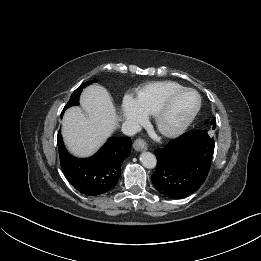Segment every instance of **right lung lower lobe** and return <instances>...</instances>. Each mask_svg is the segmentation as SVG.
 <instances>
[{
    "label": "right lung lower lobe",
    "mask_w": 261,
    "mask_h": 261,
    "mask_svg": "<svg viewBox=\"0 0 261 261\" xmlns=\"http://www.w3.org/2000/svg\"><path fill=\"white\" fill-rule=\"evenodd\" d=\"M61 167L69 182L80 193L96 196L112 190L121 174L122 162L130 155V137L110 138L92 157L78 159L64 146L60 132L57 137Z\"/></svg>",
    "instance_id": "98d812e1"
}]
</instances>
